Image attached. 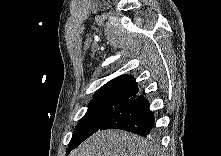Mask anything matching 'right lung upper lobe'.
Wrapping results in <instances>:
<instances>
[{"label":"right lung upper lobe","instance_id":"cb5924a9","mask_svg":"<svg viewBox=\"0 0 221 156\" xmlns=\"http://www.w3.org/2000/svg\"><path fill=\"white\" fill-rule=\"evenodd\" d=\"M138 93V87L131 75H121L101 87L94 98L127 100Z\"/></svg>","mask_w":221,"mask_h":156}]
</instances>
